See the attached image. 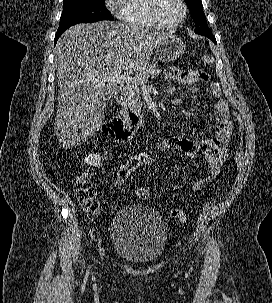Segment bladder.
<instances>
[{
	"instance_id": "31cf9c89",
	"label": "bladder",
	"mask_w": 272,
	"mask_h": 303,
	"mask_svg": "<svg viewBox=\"0 0 272 303\" xmlns=\"http://www.w3.org/2000/svg\"><path fill=\"white\" fill-rule=\"evenodd\" d=\"M114 253L132 264L147 265L156 262L167 246V226L155 209L130 204L120 208L110 225Z\"/></svg>"
}]
</instances>
